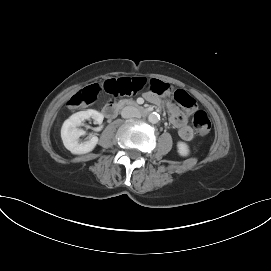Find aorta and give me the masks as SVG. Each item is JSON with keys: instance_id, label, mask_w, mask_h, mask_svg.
I'll return each instance as SVG.
<instances>
[{"instance_id": "1", "label": "aorta", "mask_w": 271, "mask_h": 271, "mask_svg": "<svg viewBox=\"0 0 271 271\" xmlns=\"http://www.w3.org/2000/svg\"><path fill=\"white\" fill-rule=\"evenodd\" d=\"M159 120H160V115L156 112L150 113L148 115V121L152 124L158 123Z\"/></svg>"}]
</instances>
